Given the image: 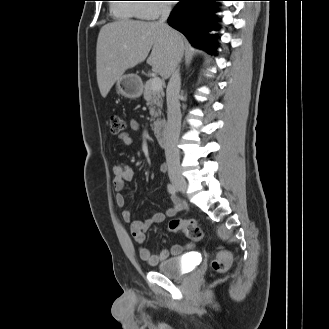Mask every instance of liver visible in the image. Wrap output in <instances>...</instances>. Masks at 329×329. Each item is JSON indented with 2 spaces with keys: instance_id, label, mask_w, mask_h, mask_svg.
<instances>
[{
  "instance_id": "liver-1",
  "label": "liver",
  "mask_w": 329,
  "mask_h": 329,
  "mask_svg": "<svg viewBox=\"0 0 329 329\" xmlns=\"http://www.w3.org/2000/svg\"><path fill=\"white\" fill-rule=\"evenodd\" d=\"M185 38L157 22L121 20L104 25L96 47V71L105 98L126 70L146 60L152 70L167 79L183 57Z\"/></svg>"
}]
</instances>
